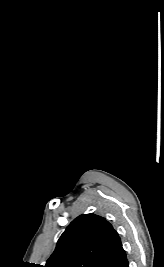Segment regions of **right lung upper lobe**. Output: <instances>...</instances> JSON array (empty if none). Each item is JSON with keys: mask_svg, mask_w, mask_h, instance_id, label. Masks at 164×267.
<instances>
[{"mask_svg": "<svg viewBox=\"0 0 164 267\" xmlns=\"http://www.w3.org/2000/svg\"><path fill=\"white\" fill-rule=\"evenodd\" d=\"M122 249L118 233L103 217H77L59 238L45 267H99Z\"/></svg>", "mask_w": 164, "mask_h": 267, "instance_id": "right-lung-upper-lobe-1", "label": "right lung upper lobe"}]
</instances>
